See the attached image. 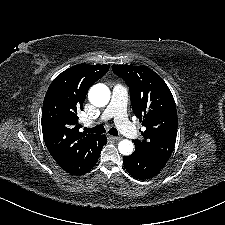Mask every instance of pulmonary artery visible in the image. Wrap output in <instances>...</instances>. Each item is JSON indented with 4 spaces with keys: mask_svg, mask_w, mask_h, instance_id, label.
I'll return each mask as SVG.
<instances>
[{
    "mask_svg": "<svg viewBox=\"0 0 225 225\" xmlns=\"http://www.w3.org/2000/svg\"><path fill=\"white\" fill-rule=\"evenodd\" d=\"M128 99L127 87L116 84L112 90L111 101L100 117L101 121H106L112 117L122 130L128 131L130 121L128 120L126 105ZM130 132V131H128Z\"/></svg>",
    "mask_w": 225,
    "mask_h": 225,
    "instance_id": "pulmonary-artery-1",
    "label": "pulmonary artery"
}]
</instances>
